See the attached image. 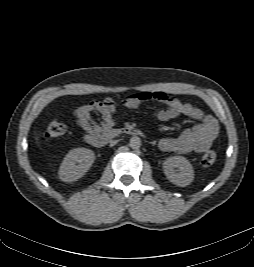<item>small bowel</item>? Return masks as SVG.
<instances>
[{"mask_svg":"<svg viewBox=\"0 0 254 267\" xmlns=\"http://www.w3.org/2000/svg\"><path fill=\"white\" fill-rule=\"evenodd\" d=\"M155 100L162 103L165 108L157 112V119L168 121L179 116L199 121L190 129L183 131L176 138H163L159 147L165 152L179 154L203 153L209 149L218 134V123L211 115L205 114L201 109L170 97L160 91H143L132 94L122 100L125 108L134 109L142 103ZM118 104L111 98L102 101H93L82 105L75 110L78 125L88 134H99L102 131H109L115 126L114 115L117 112ZM100 116V120L94 119Z\"/></svg>","mask_w":254,"mask_h":267,"instance_id":"small-bowel-1","label":"small bowel"}]
</instances>
